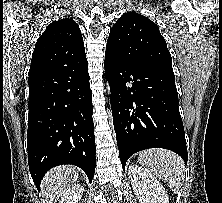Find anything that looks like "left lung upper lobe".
<instances>
[{
  "label": "left lung upper lobe",
  "mask_w": 222,
  "mask_h": 203,
  "mask_svg": "<svg viewBox=\"0 0 222 203\" xmlns=\"http://www.w3.org/2000/svg\"><path fill=\"white\" fill-rule=\"evenodd\" d=\"M106 50L130 62L156 63L172 68V58L157 24L147 17L124 13L110 30Z\"/></svg>",
  "instance_id": "5c2ea615"
}]
</instances>
